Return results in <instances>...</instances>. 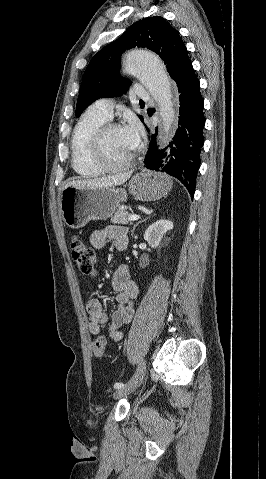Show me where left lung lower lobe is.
<instances>
[{
	"mask_svg": "<svg viewBox=\"0 0 266 479\" xmlns=\"http://www.w3.org/2000/svg\"><path fill=\"white\" fill-rule=\"evenodd\" d=\"M174 81L180 93V126L173 141L164 149H158L152 136L144 162L146 168L150 170L177 178L193 197L201 163V148L204 144L205 118L200 83L195 76L191 61L184 65Z\"/></svg>",
	"mask_w": 266,
	"mask_h": 479,
	"instance_id": "obj_1",
	"label": "left lung lower lobe"
}]
</instances>
